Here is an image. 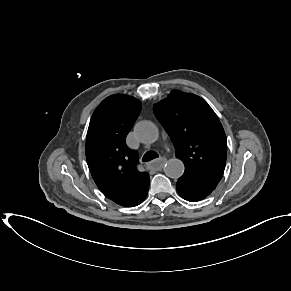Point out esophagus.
<instances>
[{
	"label": "esophagus",
	"mask_w": 291,
	"mask_h": 291,
	"mask_svg": "<svg viewBox=\"0 0 291 291\" xmlns=\"http://www.w3.org/2000/svg\"><path fill=\"white\" fill-rule=\"evenodd\" d=\"M166 162V159L163 157H160L159 159L153 161L150 166L151 168L155 169V170H160L163 168L164 164Z\"/></svg>",
	"instance_id": "1"
}]
</instances>
